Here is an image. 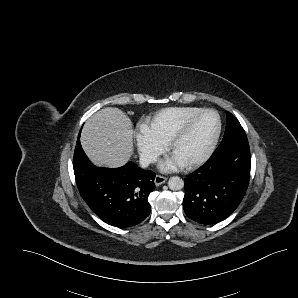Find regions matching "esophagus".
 Here are the masks:
<instances>
[{"label":"esophagus","instance_id":"1","mask_svg":"<svg viewBox=\"0 0 298 298\" xmlns=\"http://www.w3.org/2000/svg\"><path fill=\"white\" fill-rule=\"evenodd\" d=\"M167 180L166 177H163L161 175H156L154 183L156 186H160L161 184L165 183Z\"/></svg>","mask_w":298,"mask_h":298}]
</instances>
